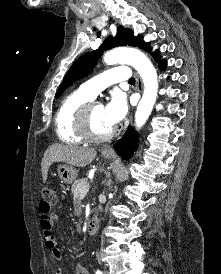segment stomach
<instances>
[{
  "label": "stomach",
  "instance_id": "0dacf381",
  "mask_svg": "<svg viewBox=\"0 0 221 274\" xmlns=\"http://www.w3.org/2000/svg\"><path fill=\"white\" fill-rule=\"evenodd\" d=\"M102 156L105 159H111L113 155L102 153ZM57 171L61 182L64 184H71L76 179L78 174L74 167L66 164L58 165Z\"/></svg>",
  "mask_w": 221,
  "mask_h": 274
}]
</instances>
